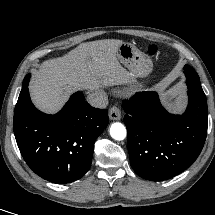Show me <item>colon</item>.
I'll return each instance as SVG.
<instances>
[{
  "label": "colon",
  "instance_id": "obj_1",
  "mask_svg": "<svg viewBox=\"0 0 215 215\" xmlns=\"http://www.w3.org/2000/svg\"><path fill=\"white\" fill-rule=\"evenodd\" d=\"M147 52L151 55V56H156L160 54V50L158 49V47L156 45H149L147 48Z\"/></svg>",
  "mask_w": 215,
  "mask_h": 215
}]
</instances>
